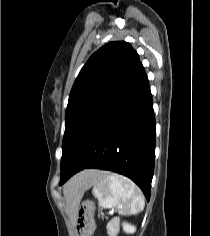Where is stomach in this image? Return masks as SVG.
<instances>
[{"instance_id": "1", "label": "stomach", "mask_w": 210, "mask_h": 236, "mask_svg": "<svg viewBox=\"0 0 210 236\" xmlns=\"http://www.w3.org/2000/svg\"><path fill=\"white\" fill-rule=\"evenodd\" d=\"M95 209V204L89 200L80 205L75 224L76 236H92L96 229Z\"/></svg>"}]
</instances>
